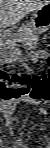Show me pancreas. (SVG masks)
<instances>
[{
	"mask_svg": "<svg viewBox=\"0 0 50 148\" xmlns=\"http://www.w3.org/2000/svg\"><path fill=\"white\" fill-rule=\"evenodd\" d=\"M14 40L16 42H25L28 45L32 44L33 40L37 39V35L35 30L31 29V28H25V27H20V29L18 30V33L15 34L14 36ZM27 38H29V40H27Z\"/></svg>",
	"mask_w": 50,
	"mask_h": 148,
	"instance_id": "cf45deb5",
	"label": "pancreas"
}]
</instances>
